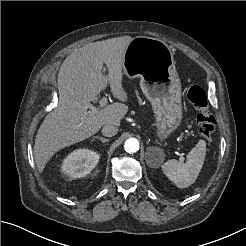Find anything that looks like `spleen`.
Here are the masks:
<instances>
[{
  "instance_id": "1",
  "label": "spleen",
  "mask_w": 246,
  "mask_h": 246,
  "mask_svg": "<svg viewBox=\"0 0 246 246\" xmlns=\"http://www.w3.org/2000/svg\"><path fill=\"white\" fill-rule=\"evenodd\" d=\"M206 156V142L200 140L188 153L186 163L175 159L161 165L164 174L179 188H187L192 185L204 164Z\"/></svg>"
}]
</instances>
